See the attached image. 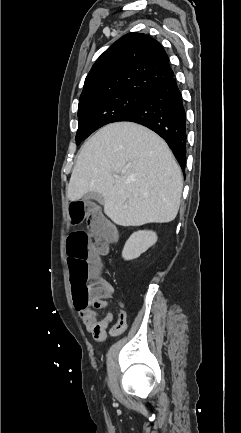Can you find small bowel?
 I'll return each mask as SVG.
<instances>
[{"label": "small bowel", "mask_w": 241, "mask_h": 433, "mask_svg": "<svg viewBox=\"0 0 241 433\" xmlns=\"http://www.w3.org/2000/svg\"><path fill=\"white\" fill-rule=\"evenodd\" d=\"M101 283L104 293L90 303L87 312H79L87 331L99 342L105 341L108 333L113 337L122 334L127 327V314L122 309H120L115 323H113L112 313H107L103 318H99L97 311L106 308L108 300L115 298L113 286L105 280H101Z\"/></svg>", "instance_id": "small-bowel-1"}]
</instances>
